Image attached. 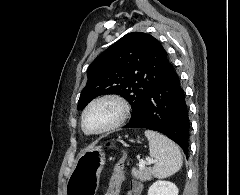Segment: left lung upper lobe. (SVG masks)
<instances>
[{
  "mask_svg": "<svg viewBox=\"0 0 240 195\" xmlns=\"http://www.w3.org/2000/svg\"><path fill=\"white\" fill-rule=\"evenodd\" d=\"M169 65L166 51L156 38L142 32L128 33L90 65L77 109L83 110L97 96L118 94L131 104L133 119Z\"/></svg>",
  "mask_w": 240,
  "mask_h": 195,
  "instance_id": "5c2ea615",
  "label": "left lung upper lobe"
}]
</instances>
